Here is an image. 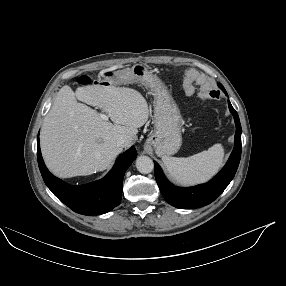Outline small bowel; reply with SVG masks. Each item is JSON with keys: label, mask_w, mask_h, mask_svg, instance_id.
I'll list each match as a JSON object with an SVG mask.
<instances>
[{"label": "small bowel", "mask_w": 286, "mask_h": 286, "mask_svg": "<svg viewBox=\"0 0 286 286\" xmlns=\"http://www.w3.org/2000/svg\"><path fill=\"white\" fill-rule=\"evenodd\" d=\"M185 74L187 76V83L185 85V92L189 96L192 95L194 92V87L192 85V82H198L201 84H206L205 77L201 73H198L197 71H195L192 68H187L185 70ZM216 93H217V91H215V90H209L207 94L211 99H216L217 98Z\"/></svg>", "instance_id": "1"}]
</instances>
